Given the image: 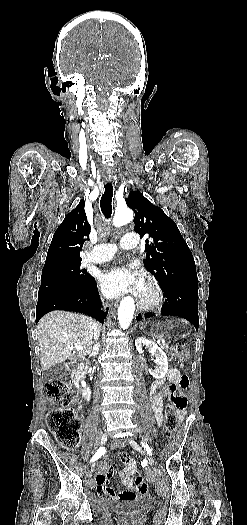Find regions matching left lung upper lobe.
Returning a JSON list of instances; mask_svg holds the SVG:
<instances>
[{
    "mask_svg": "<svg viewBox=\"0 0 247 525\" xmlns=\"http://www.w3.org/2000/svg\"><path fill=\"white\" fill-rule=\"evenodd\" d=\"M126 203L135 212V231L150 238L143 262L161 287L198 288L193 255L176 223L139 191L130 192Z\"/></svg>",
    "mask_w": 247,
    "mask_h": 525,
    "instance_id": "obj_1",
    "label": "left lung upper lobe"
}]
</instances>
